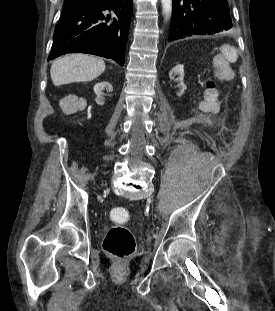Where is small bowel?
<instances>
[{
    "label": "small bowel",
    "instance_id": "obj_1",
    "mask_svg": "<svg viewBox=\"0 0 275 311\" xmlns=\"http://www.w3.org/2000/svg\"><path fill=\"white\" fill-rule=\"evenodd\" d=\"M219 52L221 55L211 58L212 73L206 74V80L200 81V86L203 88L198 106L200 112H207L208 116H216L217 112L223 111L220 102V87H224V80H230L233 77V62H240V52L232 46H220Z\"/></svg>",
    "mask_w": 275,
    "mask_h": 311
}]
</instances>
